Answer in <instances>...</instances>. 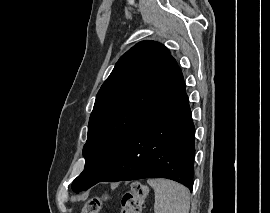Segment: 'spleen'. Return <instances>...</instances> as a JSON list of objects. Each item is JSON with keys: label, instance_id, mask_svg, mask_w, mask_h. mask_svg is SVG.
<instances>
[{"label": "spleen", "instance_id": "3e777b00", "mask_svg": "<svg viewBox=\"0 0 270 213\" xmlns=\"http://www.w3.org/2000/svg\"><path fill=\"white\" fill-rule=\"evenodd\" d=\"M147 182L155 191L154 213H189V193L183 185L161 178Z\"/></svg>", "mask_w": 270, "mask_h": 213}]
</instances>
